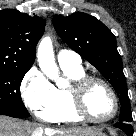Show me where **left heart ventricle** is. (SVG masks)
Instances as JSON below:
<instances>
[{
  "instance_id": "obj_1",
  "label": "left heart ventricle",
  "mask_w": 136,
  "mask_h": 136,
  "mask_svg": "<svg viewBox=\"0 0 136 136\" xmlns=\"http://www.w3.org/2000/svg\"><path fill=\"white\" fill-rule=\"evenodd\" d=\"M86 105L89 113L95 118H106L113 112V101L107 89L100 85H93L86 97Z\"/></svg>"
}]
</instances>
